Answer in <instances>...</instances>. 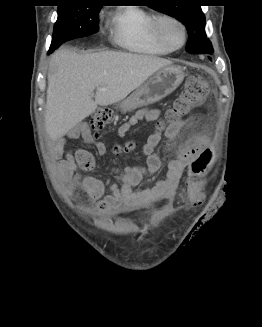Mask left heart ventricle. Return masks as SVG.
<instances>
[{
    "mask_svg": "<svg viewBox=\"0 0 262 327\" xmlns=\"http://www.w3.org/2000/svg\"><path fill=\"white\" fill-rule=\"evenodd\" d=\"M163 32L167 40L172 44V45H179L182 40V33L180 28L172 23V22H166L163 25Z\"/></svg>",
    "mask_w": 262,
    "mask_h": 327,
    "instance_id": "b2bd125f",
    "label": "left heart ventricle"
}]
</instances>
